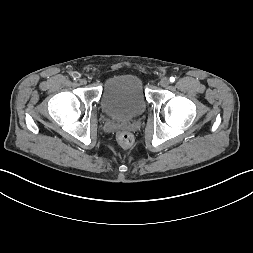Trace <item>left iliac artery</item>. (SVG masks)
Instances as JSON below:
<instances>
[{
    "instance_id": "left-iliac-artery-1",
    "label": "left iliac artery",
    "mask_w": 253,
    "mask_h": 253,
    "mask_svg": "<svg viewBox=\"0 0 253 253\" xmlns=\"http://www.w3.org/2000/svg\"><path fill=\"white\" fill-rule=\"evenodd\" d=\"M175 78L174 77H170V82H174Z\"/></svg>"
}]
</instances>
